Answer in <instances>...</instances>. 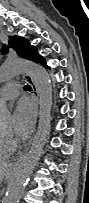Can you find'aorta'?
Instances as JSON below:
<instances>
[{"instance_id": "obj_1", "label": "aorta", "mask_w": 89, "mask_h": 203, "mask_svg": "<svg viewBox=\"0 0 89 203\" xmlns=\"http://www.w3.org/2000/svg\"><path fill=\"white\" fill-rule=\"evenodd\" d=\"M20 74H29L34 80L39 94V122L32 140L31 148L11 177L2 203L20 202L29 178L47 143L50 131L53 90L49 73L41 65L19 58L6 60L0 68V79L2 82L9 81ZM12 120L11 111L6 105H1L0 127L3 129L9 128Z\"/></svg>"}]
</instances>
